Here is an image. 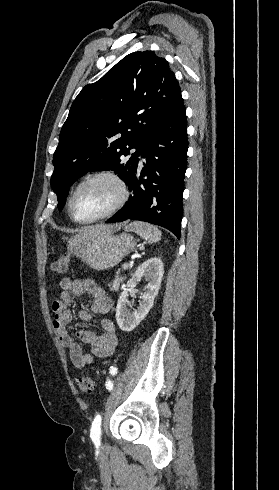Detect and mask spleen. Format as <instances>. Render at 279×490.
<instances>
[{
  "instance_id": "3e777b00",
  "label": "spleen",
  "mask_w": 279,
  "mask_h": 490,
  "mask_svg": "<svg viewBox=\"0 0 279 490\" xmlns=\"http://www.w3.org/2000/svg\"><path fill=\"white\" fill-rule=\"evenodd\" d=\"M126 232H136L140 238L147 240V242H158L161 238V232L157 230L156 226H151V224H145V222H131L128 226H125ZM159 232V236H156Z\"/></svg>"
}]
</instances>
